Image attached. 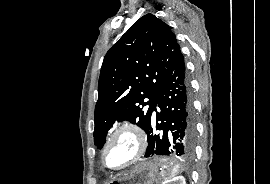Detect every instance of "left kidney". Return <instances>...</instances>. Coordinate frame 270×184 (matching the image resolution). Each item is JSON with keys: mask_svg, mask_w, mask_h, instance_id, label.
<instances>
[{"mask_svg": "<svg viewBox=\"0 0 270 184\" xmlns=\"http://www.w3.org/2000/svg\"><path fill=\"white\" fill-rule=\"evenodd\" d=\"M164 184H186L185 178L182 176L175 177L173 179L168 180Z\"/></svg>", "mask_w": 270, "mask_h": 184, "instance_id": "5707ae66", "label": "left kidney"}]
</instances>
